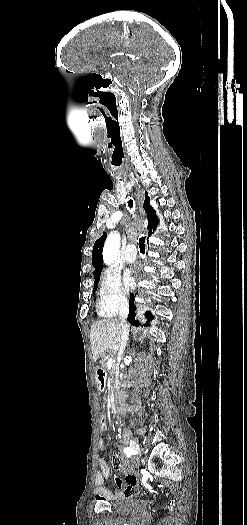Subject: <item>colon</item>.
<instances>
[{
  "mask_svg": "<svg viewBox=\"0 0 247 525\" xmlns=\"http://www.w3.org/2000/svg\"><path fill=\"white\" fill-rule=\"evenodd\" d=\"M97 424L99 427L103 428V431H108V420L104 417L98 419Z\"/></svg>",
  "mask_w": 247,
  "mask_h": 525,
  "instance_id": "colon-1",
  "label": "colon"
}]
</instances>
